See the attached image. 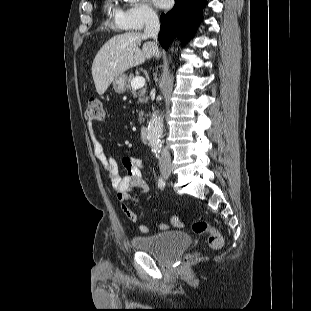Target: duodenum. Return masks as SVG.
I'll return each instance as SVG.
<instances>
[{
    "instance_id": "duodenum-1",
    "label": "duodenum",
    "mask_w": 311,
    "mask_h": 311,
    "mask_svg": "<svg viewBox=\"0 0 311 311\" xmlns=\"http://www.w3.org/2000/svg\"><path fill=\"white\" fill-rule=\"evenodd\" d=\"M148 132L149 130L146 126L140 128V138L144 143L148 142Z\"/></svg>"
}]
</instances>
